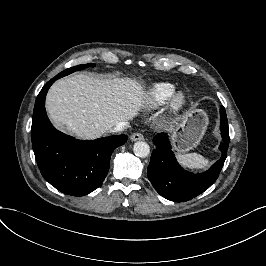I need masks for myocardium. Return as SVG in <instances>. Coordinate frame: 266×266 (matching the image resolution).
<instances>
[{"mask_svg":"<svg viewBox=\"0 0 266 266\" xmlns=\"http://www.w3.org/2000/svg\"><path fill=\"white\" fill-rule=\"evenodd\" d=\"M189 107V99L183 91H177L166 103V116L171 121H178Z\"/></svg>","mask_w":266,"mask_h":266,"instance_id":"f54148a6","label":"myocardium"}]
</instances>
